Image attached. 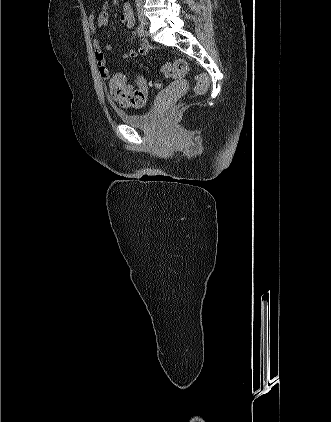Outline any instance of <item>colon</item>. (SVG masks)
I'll use <instances>...</instances> for the list:
<instances>
[{"label": "colon", "mask_w": 331, "mask_h": 422, "mask_svg": "<svg viewBox=\"0 0 331 422\" xmlns=\"http://www.w3.org/2000/svg\"><path fill=\"white\" fill-rule=\"evenodd\" d=\"M162 71L166 77L181 78L189 72V65L183 59H177L173 62L164 64ZM209 78L205 74H198L195 76L194 93L196 95H203L208 88ZM109 89L111 96L119 101L125 102L130 106L142 107L147 101V87L142 78L138 80L137 86L134 88L126 83L122 74H114L109 82ZM181 110V105H177L167 112V117H175Z\"/></svg>", "instance_id": "colon-1"}]
</instances>
